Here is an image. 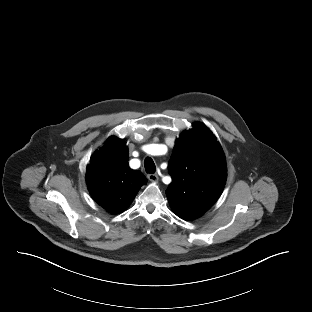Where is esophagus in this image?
I'll use <instances>...</instances> for the list:
<instances>
[{"mask_svg": "<svg viewBox=\"0 0 312 312\" xmlns=\"http://www.w3.org/2000/svg\"><path fill=\"white\" fill-rule=\"evenodd\" d=\"M147 178L152 181V182H157L158 181V176L156 174H148Z\"/></svg>", "mask_w": 312, "mask_h": 312, "instance_id": "esophagus-1", "label": "esophagus"}]
</instances>
